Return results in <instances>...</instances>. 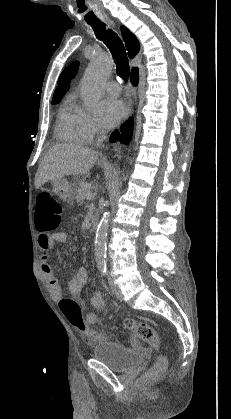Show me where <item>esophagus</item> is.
Here are the masks:
<instances>
[{"label":"esophagus","instance_id":"1","mask_svg":"<svg viewBox=\"0 0 231 419\" xmlns=\"http://www.w3.org/2000/svg\"><path fill=\"white\" fill-rule=\"evenodd\" d=\"M107 21L111 26H114V22L111 19L107 18ZM135 95H136V88L133 85H131L130 86V91H129V100H128L126 113H125V117H124L123 122H125L133 112V102H134ZM115 150L119 151L120 147L117 145L115 147Z\"/></svg>","mask_w":231,"mask_h":419}]
</instances>
